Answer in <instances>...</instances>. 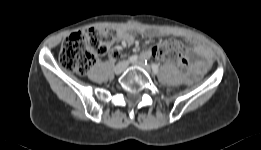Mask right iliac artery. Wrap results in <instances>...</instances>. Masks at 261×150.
Listing matches in <instances>:
<instances>
[{
	"mask_svg": "<svg viewBox=\"0 0 261 150\" xmlns=\"http://www.w3.org/2000/svg\"><path fill=\"white\" fill-rule=\"evenodd\" d=\"M137 59H138L137 55H132L131 57H129L130 62H135Z\"/></svg>",
	"mask_w": 261,
	"mask_h": 150,
	"instance_id": "right-iliac-artery-1",
	"label": "right iliac artery"
}]
</instances>
